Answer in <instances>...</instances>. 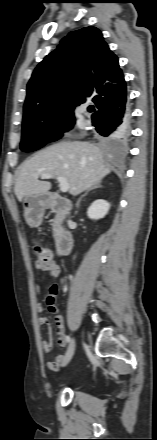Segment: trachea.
<instances>
[{
	"label": "trachea",
	"instance_id": "obj_1",
	"mask_svg": "<svg viewBox=\"0 0 157 440\" xmlns=\"http://www.w3.org/2000/svg\"><path fill=\"white\" fill-rule=\"evenodd\" d=\"M88 111H89V112H93V111H94V107H93V106H89V107H88Z\"/></svg>",
	"mask_w": 157,
	"mask_h": 440
}]
</instances>
